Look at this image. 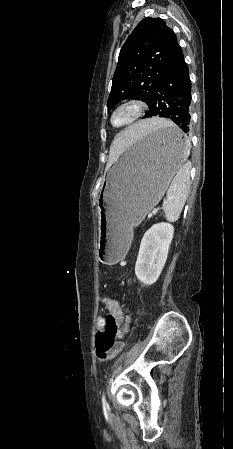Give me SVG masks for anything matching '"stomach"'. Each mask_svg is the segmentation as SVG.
I'll use <instances>...</instances> for the list:
<instances>
[{"label": "stomach", "instance_id": "0dacf381", "mask_svg": "<svg viewBox=\"0 0 233 449\" xmlns=\"http://www.w3.org/2000/svg\"><path fill=\"white\" fill-rule=\"evenodd\" d=\"M187 140L175 125L147 133L107 173L99 200L98 256L105 264L119 262L133 237V228L158 204L185 161Z\"/></svg>", "mask_w": 233, "mask_h": 449}]
</instances>
